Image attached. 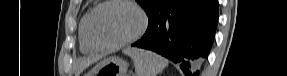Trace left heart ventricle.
<instances>
[{
  "label": "left heart ventricle",
  "instance_id": "1",
  "mask_svg": "<svg viewBox=\"0 0 287 76\" xmlns=\"http://www.w3.org/2000/svg\"><path fill=\"white\" fill-rule=\"evenodd\" d=\"M139 14L129 5L114 3L102 8L94 20V32L103 42L113 43L133 35L140 26Z\"/></svg>",
  "mask_w": 287,
  "mask_h": 76
}]
</instances>
